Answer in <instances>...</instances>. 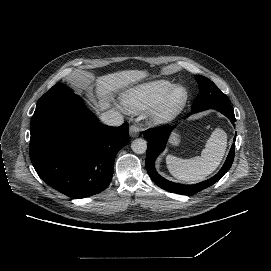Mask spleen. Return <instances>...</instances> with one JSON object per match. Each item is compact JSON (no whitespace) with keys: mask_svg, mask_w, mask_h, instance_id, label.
I'll use <instances>...</instances> for the list:
<instances>
[{"mask_svg":"<svg viewBox=\"0 0 271 271\" xmlns=\"http://www.w3.org/2000/svg\"><path fill=\"white\" fill-rule=\"evenodd\" d=\"M227 147V134L216 128L207 140L201 156L182 159L167 155L166 164L169 172L179 181L195 183L204 180L220 165Z\"/></svg>","mask_w":271,"mask_h":271,"instance_id":"obj_1","label":"spleen"}]
</instances>
